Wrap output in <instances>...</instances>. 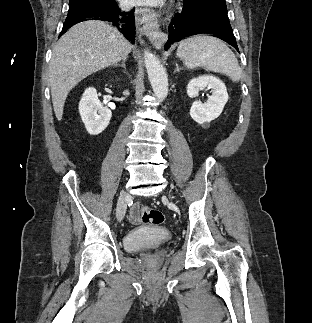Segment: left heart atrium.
<instances>
[{
  "mask_svg": "<svg viewBox=\"0 0 312 323\" xmlns=\"http://www.w3.org/2000/svg\"><path fill=\"white\" fill-rule=\"evenodd\" d=\"M163 0H126L127 4H131L132 8H151L161 4Z\"/></svg>",
  "mask_w": 312,
  "mask_h": 323,
  "instance_id": "39dd6f15",
  "label": "left heart atrium"
}]
</instances>
